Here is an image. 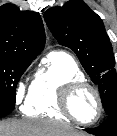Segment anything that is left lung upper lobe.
<instances>
[{
	"label": "left lung upper lobe",
	"instance_id": "5c2ea615",
	"mask_svg": "<svg viewBox=\"0 0 117 136\" xmlns=\"http://www.w3.org/2000/svg\"><path fill=\"white\" fill-rule=\"evenodd\" d=\"M44 18L59 44L75 52L91 80L99 85L105 112L117 111L115 58L101 18L82 0L49 8Z\"/></svg>",
	"mask_w": 117,
	"mask_h": 136
}]
</instances>
